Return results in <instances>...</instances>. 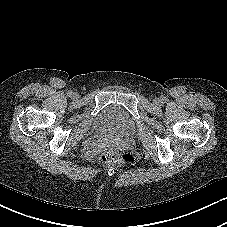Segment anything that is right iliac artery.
<instances>
[{
  "instance_id": "82829eb1",
  "label": "right iliac artery",
  "mask_w": 227,
  "mask_h": 227,
  "mask_svg": "<svg viewBox=\"0 0 227 227\" xmlns=\"http://www.w3.org/2000/svg\"><path fill=\"white\" fill-rule=\"evenodd\" d=\"M67 95L70 97V96L73 95V92H72L71 90H69V91L67 92Z\"/></svg>"
}]
</instances>
